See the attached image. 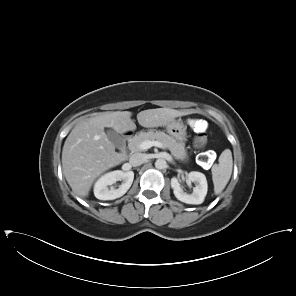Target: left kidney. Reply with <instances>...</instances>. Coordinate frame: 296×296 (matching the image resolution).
<instances>
[{"mask_svg":"<svg viewBox=\"0 0 296 296\" xmlns=\"http://www.w3.org/2000/svg\"><path fill=\"white\" fill-rule=\"evenodd\" d=\"M188 182H194L195 187L193 192L188 194L184 192L177 178L171 179V187L173 189L175 197L181 202L187 204H201L207 194L208 184L206 177L203 173L192 171L188 174Z\"/></svg>","mask_w":296,"mask_h":296,"instance_id":"5707ae66","label":"left kidney"}]
</instances>
